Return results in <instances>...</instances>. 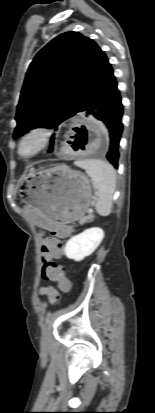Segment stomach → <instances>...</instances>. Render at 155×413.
Listing matches in <instances>:
<instances>
[{
    "label": "stomach",
    "instance_id": "1",
    "mask_svg": "<svg viewBox=\"0 0 155 413\" xmlns=\"http://www.w3.org/2000/svg\"><path fill=\"white\" fill-rule=\"evenodd\" d=\"M20 196L51 222L82 219L92 202V188L83 173L66 165L32 171L23 177Z\"/></svg>",
    "mask_w": 155,
    "mask_h": 413
}]
</instances>
